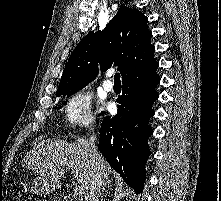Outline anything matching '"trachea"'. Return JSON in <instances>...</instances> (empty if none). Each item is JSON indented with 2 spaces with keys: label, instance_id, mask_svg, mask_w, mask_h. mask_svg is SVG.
I'll use <instances>...</instances> for the list:
<instances>
[{
  "label": "trachea",
  "instance_id": "1",
  "mask_svg": "<svg viewBox=\"0 0 221 201\" xmlns=\"http://www.w3.org/2000/svg\"><path fill=\"white\" fill-rule=\"evenodd\" d=\"M114 81H115V83H120V74L119 73H116L114 75Z\"/></svg>",
  "mask_w": 221,
  "mask_h": 201
}]
</instances>
